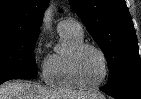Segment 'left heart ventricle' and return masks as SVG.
<instances>
[{"mask_svg": "<svg viewBox=\"0 0 141 99\" xmlns=\"http://www.w3.org/2000/svg\"><path fill=\"white\" fill-rule=\"evenodd\" d=\"M79 69L85 82L97 83L104 75V62L101 55L93 49H86L80 57Z\"/></svg>", "mask_w": 141, "mask_h": 99, "instance_id": "obj_1", "label": "left heart ventricle"}]
</instances>
